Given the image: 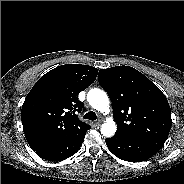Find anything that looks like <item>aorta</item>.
I'll list each match as a JSON object with an SVG mask.
<instances>
[{"label":"aorta","instance_id":"obj_1","mask_svg":"<svg viewBox=\"0 0 184 184\" xmlns=\"http://www.w3.org/2000/svg\"><path fill=\"white\" fill-rule=\"evenodd\" d=\"M87 100L89 104L99 112L109 111V99L107 94L98 88L91 89L87 94ZM116 132V124L112 119H107L105 123L102 124L101 133L105 137H111Z\"/></svg>","mask_w":184,"mask_h":184}]
</instances>
